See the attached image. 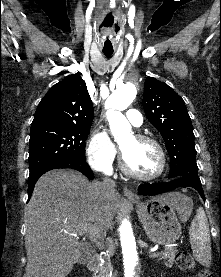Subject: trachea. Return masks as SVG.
I'll use <instances>...</instances> for the list:
<instances>
[{
    "mask_svg": "<svg viewBox=\"0 0 221 277\" xmlns=\"http://www.w3.org/2000/svg\"><path fill=\"white\" fill-rule=\"evenodd\" d=\"M106 57H110L113 54V51H103Z\"/></svg>",
    "mask_w": 221,
    "mask_h": 277,
    "instance_id": "3493384b",
    "label": "trachea"
}]
</instances>
